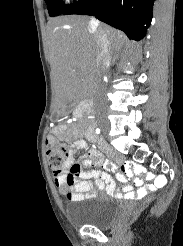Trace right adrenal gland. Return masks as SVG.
Masks as SVG:
<instances>
[{
    "instance_id": "2a0ac1e0",
    "label": "right adrenal gland",
    "mask_w": 183,
    "mask_h": 246,
    "mask_svg": "<svg viewBox=\"0 0 183 246\" xmlns=\"http://www.w3.org/2000/svg\"><path fill=\"white\" fill-rule=\"evenodd\" d=\"M118 53H119V52H112V55H113V58H112V65H114Z\"/></svg>"
}]
</instances>
